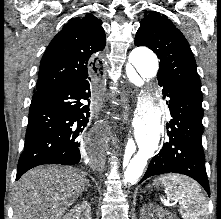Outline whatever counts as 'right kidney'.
Listing matches in <instances>:
<instances>
[{
  "instance_id": "right-kidney-1",
  "label": "right kidney",
  "mask_w": 221,
  "mask_h": 219,
  "mask_svg": "<svg viewBox=\"0 0 221 219\" xmlns=\"http://www.w3.org/2000/svg\"><path fill=\"white\" fill-rule=\"evenodd\" d=\"M62 219H91V206L87 201L78 203Z\"/></svg>"
}]
</instances>
